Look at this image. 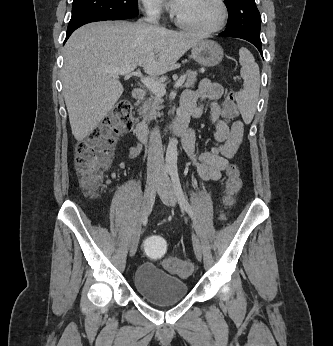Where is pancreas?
<instances>
[{
  "label": "pancreas",
  "instance_id": "cf45deb5",
  "mask_svg": "<svg viewBox=\"0 0 333 346\" xmlns=\"http://www.w3.org/2000/svg\"><path fill=\"white\" fill-rule=\"evenodd\" d=\"M184 76L186 78L184 87H194L195 82L197 81V72L187 71ZM162 103L163 100L158 96H151L148 100H146L141 107L143 121L150 122L151 120L156 119L157 116H161L159 111L163 108Z\"/></svg>",
  "mask_w": 333,
  "mask_h": 346
}]
</instances>
